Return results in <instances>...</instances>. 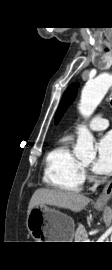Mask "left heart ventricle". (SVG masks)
I'll use <instances>...</instances> for the list:
<instances>
[{"mask_svg":"<svg viewBox=\"0 0 112 270\" xmlns=\"http://www.w3.org/2000/svg\"><path fill=\"white\" fill-rule=\"evenodd\" d=\"M84 164H85L86 166H88V165H90V162H85Z\"/></svg>","mask_w":112,"mask_h":270,"instance_id":"1","label":"left heart ventricle"}]
</instances>
